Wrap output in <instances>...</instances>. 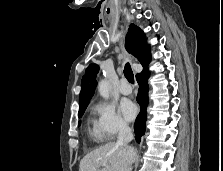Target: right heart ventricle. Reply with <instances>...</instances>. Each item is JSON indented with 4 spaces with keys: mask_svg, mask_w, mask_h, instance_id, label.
Returning <instances> with one entry per match:
<instances>
[{
    "mask_svg": "<svg viewBox=\"0 0 223 171\" xmlns=\"http://www.w3.org/2000/svg\"><path fill=\"white\" fill-rule=\"evenodd\" d=\"M90 135H91L93 138L100 139V137L98 136V134H97L96 131H95V128L92 129V131L90 132Z\"/></svg>",
    "mask_w": 223,
    "mask_h": 171,
    "instance_id": "obj_1",
    "label": "right heart ventricle"
}]
</instances>
